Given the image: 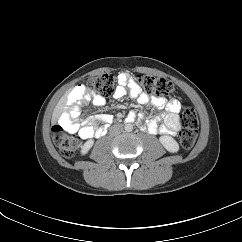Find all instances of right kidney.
Listing matches in <instances>:
<instances>
[{"mask_svg": "<svg viewBox=\"0 0 242 242\" xmlns=\"http://www.w3.org/2000/svg\"><path fill=\"white\" fill-rule=\"evenodd\" d=\"M92 145H93V141L92 140L87 141L84 144V146L82 147L81 153L83 155L86 154L89 151V149L92 147Z\"/></svg>", "mask_w": 242, "mask_h": 242, "instance_id": "ca27d5eb", "label": "right kidney"}]
</instances>
